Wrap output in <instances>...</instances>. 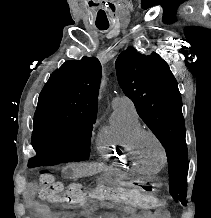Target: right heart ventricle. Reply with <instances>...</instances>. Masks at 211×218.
Segmentation results:
<instances>
[{"instance_id": "e07e8e85", "label": "right heart ventricle", "mask_w": 211, "mask_h": 218, "mask_svg": "<svg viewBox=\"0 0 211 218\" xmlns=\"http://www.w3.org/2000/svg\"><path fill=\"white\" fill-rule=\"evenodd\" d=\"M142 128L135 108H114L109 124L102 128L97 137V154L105 157L109 165H119V169H139L134 160V135Z\"/></svg>"}]
</instances>
